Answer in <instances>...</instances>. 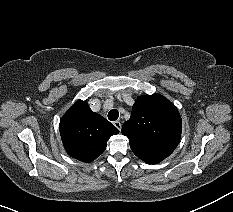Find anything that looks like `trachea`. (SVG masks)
I'll return each instance as SVG.
<instances>
[{"mask_svg": "<svg viewBox=\"0 0 233 212\" xmlns=\"http://www.w3.org/2000/svg\"><path fill=\"white\" fill-rule=\"evenodd\" d=\"M118 117H119V112H118V110H116V109H112V110L108 113V119H109L110 121H115V120L118 119Z\"/></svg>", "mask_w": 233, "mask_h": 212, "instance_id": "obj_1", "label": "trachea"}]
</instances>
